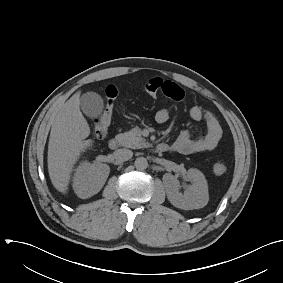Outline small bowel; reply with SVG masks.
<instances>
[{
    "mask_svg": "<svg viewBox=\"0 0 283 283\" xmlns=\"http://www.w3.org/2000/svg\"><path fill=\"white\" fill-rule=\"evenodd\" d=\"M161 93L175 101H180L185 96L184 90L169 80L163 81ZM189 116L195 121H203L205 123V133L193 137L190 130H183L171 145H167V151L193 154L214 150L222 137V129L217 117L211 111L199 106L191 107ZM168 119L169 111L167 109H159L155 114V120L159 124L167 122Z\"/></svg>",
    "mask_w": 283,
    "mask_h": 283,
    "instance_id": "1",
    "label": "small bowel"
}]
</instances>
